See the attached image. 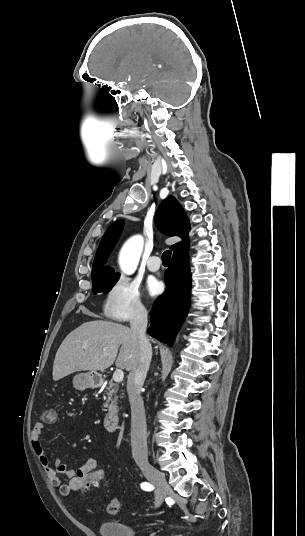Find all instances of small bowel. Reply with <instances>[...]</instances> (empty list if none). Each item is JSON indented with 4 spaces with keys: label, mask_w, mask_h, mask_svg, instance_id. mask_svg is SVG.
<instances>
[{
    "label": "small bowel",
    "mask_w": 305,
    "mask_h": 536,
    "mask_svg": "<svg viewBox=\"0 0 305 536\" xmlns=\"http://www.w3.org/2000/svg\"><path fill=\"white\" fill-rule=\"evenodd\" d=\"M44 427H32L31 444L38 458V461L51 484L57 487L59 494L62 497L69 496L72 492L81 491L82 483L87 479V470L94 469V464L97 463L95 458L89 457L78 467H71L61 458H56L51 464L50 459L42 445L41 435ZM62 476L68 479V482L62 481Z\"/></svg>",
    "instance_id": "c3829d8e"
}]
</instances>
